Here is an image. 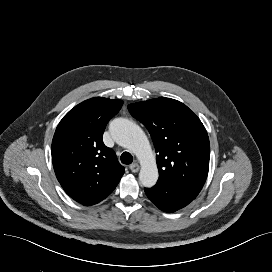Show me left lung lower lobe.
Wrapping results in <instances>:
<instances>
[{
  "label": "left lung lower lobe",
  "mask_w": 272,
  "mask_h": 272,
  "mask_svg": "<svg viewBox=\"0 0 272 272\" xmlns=\"http://www.w3.org/2000/svg\"><path fill=\"white\" fill-rule=\"evenodd\" d=\"M145 193L165 212H174L185 207L199 194L190 187L172 182H157L152 188H145Z\"/></svg>",
  "instance_id": "1"
}]
</instances>
